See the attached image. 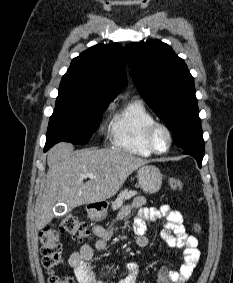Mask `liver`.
Masks as SVG:
<instances>
[{"instance_id":"obj_1","label":"liver","mask_w":233,"mask_h":283,"mask_svg":"<svg viewBox=\"0 0 233 283\" xmlns=\"http://www.w3.org/2000/svg\"><path fill=\"white\" fill-rule=\"evenodd\" d=\"M147 163L148 160L121 150L74 151L72 144H56L47 152L49 169L44 191L36 201V229L41 230L52 221L57 203L73 209L111 198L134 170ZM87 173L94 174L95 178L84 183L83 175Z\"/></svg>"}]
</instances>
